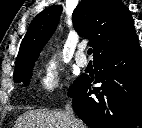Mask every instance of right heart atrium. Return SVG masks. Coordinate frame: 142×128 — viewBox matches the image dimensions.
Returning <instances> with one entry per match:
<instances>
[{
  "mask_svg": "<svg viewBox=\"0 0 142 128\" xmlns=\"http://www.w3.org/2000/svg\"><path fill=\"white\" fill-rule=\"evenodd\" d=\"M36 82L42 95L50 96L59 91L61 69L55 58L48 56L42 61L36 72Z\"/></svg>",
  "mask_w": 142,
  "mask_h": 128,
  "instance_id": "d8ad5b80",
  "label": "right heart atrium"
}]
</instances>
